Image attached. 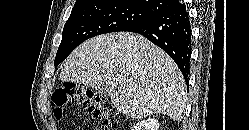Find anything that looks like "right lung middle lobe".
<instances>
[{"instance_id":"obj_1","label":"right lung middle lobe","mask_w":249,"mask_h":130,"mask_svg":"<svg viewBox=\"0 0 249 130\" xmlns=\"http://www.w3.org/2000/svg\"><path fill=\"white\" fill-rule=\"evenodd\" d=\"M157 13L127 2L96 1L72 9L65 23L54 65L58 66L85 40L127 28L153 18Z\"/></svg>"}]
</instances>
